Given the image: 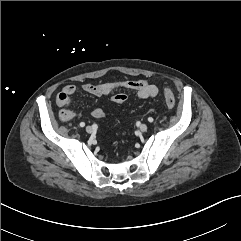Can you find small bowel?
Returning a JSON list of instances; mask_svg holds the SVG:
<instances>
[{
	"mask_svg": "<svg viewBox=\"0 0 241 241\" xmlns=\"http://www.w3.org/2000/svg\"><path fill=\"white\" fill-rule=\"evenodd\" d=\"M82 89L97 97L111 95L119 89L132 91L141 99L153 98L158 94L157 86L143 79L110 83H85ZM76 91L75 85L68 84L56 97V104L60 107L59 118L63 122H69L76 117V113L70 108L71 97ZM91 114L96 119L104 117V111L101 108L93 109Z\"/></svg>",
	"mask_w": 241,
	"mask_h": 241,
	"instance_id": "1",
	"label": "small bowel"
}]
</instances>
